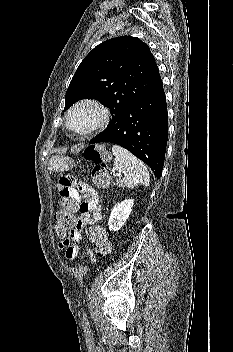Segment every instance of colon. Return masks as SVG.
<instances>
[{"mask_svg": "<svg viewBox=\"0 0 233 352\" xmlns=\"http://www.w3.org/2000/svg\"><path fill=\"white\" fill-rule=\"evenodd\" d=\"M83 159L86 162L94 164L91 173L94 184L99 188L107 187L110 183L108 163L111 160V155L107 150L101 145H90L84 150ZM87 199L86 195L83 196L82 204H85ZM74 213L75 203L69 198H63L60 202V209L55 215L56 231L63 239L76 225ZM87 236L93 244L98 257H105L110 253L111 242L103 227L99 225L91 226L87 231Z\"/></svg>", "mask_w": 233, "mask_h": 352, "instance_id": "colon-1", "label": "colon"}]
</instances>
